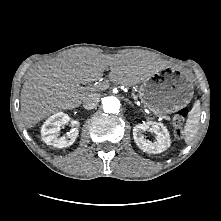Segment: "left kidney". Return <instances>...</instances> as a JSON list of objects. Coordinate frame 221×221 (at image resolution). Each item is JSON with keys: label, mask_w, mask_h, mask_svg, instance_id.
<instances>
[{"label": "left kidney", "mask_w": 221, "mask_h": 221, "mask_svg": "<svg viewBox=\"0 0 221 221\" xmlns=\"http://www.w3.org/2000/svg\"><path fill=\"white\" fill-rule=\"evenodd\" d=\"M145 131L153 132L156 135V142L146 140L143 135ZM133 138L142 151L154 154L164 152L171 144L167 128L162 123L153 121L136 125L133 128Z\"/></svg>", "instance_id": "obj_1"}]
</instances>
